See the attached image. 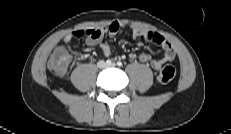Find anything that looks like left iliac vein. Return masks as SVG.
Listing matches in <instances>:
<instances>
[{
    "mask_svg": "<svg viewBox=\"0 0 231 134\" xmlns=\"http://www.w3.org/2000/svg\"><path fill=\"white\" fill-rule=\"evenodd\" d=\"M116 64L115 63H111L110 65H108L109 67H114Z\"/></svg>",
    "mask_w": 231,
    "mask_h": 134,
    "instance_id": "1",
    "label": "left iliac vein"
}]
</instances>
